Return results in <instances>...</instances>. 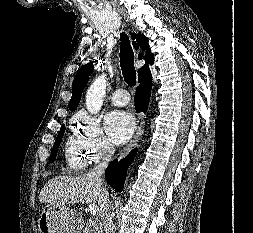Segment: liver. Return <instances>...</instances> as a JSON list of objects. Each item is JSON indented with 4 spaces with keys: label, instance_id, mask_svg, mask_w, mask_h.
<instances>
[{
    "label": "liver",
    "instance_id": "liver-1",
    "mask_svg": "<svg viewBox=\"0 0 253 233\" xmlns=\"http://www.w3.org/2000/svg\"><path fill=\"white\" fill-rule=\"evenodd\" d=\"M102 185L91 173L80 176H58L49 180L42 188L41 203L75 204L82 200L86 203L99 202Z\"/></svg>",
    "mask_w": 253,
    "mask_h": 233
}]
</instances>
